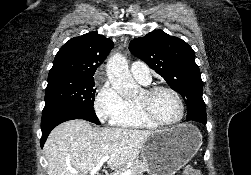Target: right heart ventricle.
I'll return each instance as SVG.
<instances>
[{
  "label": "right heart ventricle",
  "instance_id": "e07e8e85",
  "mask_svg": "<svg viewBox=\"0 0 251 175\" xmlns=\"http://www.w3.org/2000/svg\"><path fill=\"white\" fill-rule=\"evenodd\" d=\"M117 125L124 128L153 129L155 127L144 116L140 114L137 109L136 102L128 103L127 113Z\"/></svg>",
  "mask_w": 251,
  "mask_h": 175
}]
</instances>
